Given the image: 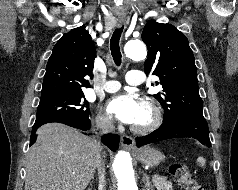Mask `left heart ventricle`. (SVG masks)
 <instances>
[{
  "label": "left heart ventricle",
  "instance_id": "obj_1",
  "mask_svg": "<svg viewBox=\"0 0 238 190\" xmlns=\"http://www.w3.org/2000/svg\"><path fill=\"white\" fill-rule=\"evenodd\" d=\"M149 119H150V114L148 109L144 107L142 104H140L138 116L133 124L143 125V124H146L149 121Z\"/></svg>",
  "mask_w": 238,
  "mask_h": 190
}]
</instances>
